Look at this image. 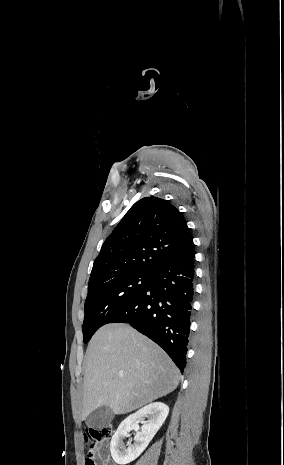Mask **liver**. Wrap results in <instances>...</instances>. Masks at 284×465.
Instances as JSON below:
<instances>
[{"label":"liver","instance_id":"1","mask_svg":"<svg viewBox=\"0 0 284 465\" xmlns=\"http://www.w3.org/2000/svg\"><path fill=\"white\" fill-rule=\"evenodd\" d=\"M179 379V369L158 345L124 323L105 325L86 351L80 421L99 407L131 413L172 393Z\"/></svg>","mask_w":284,"mask_h":465}]
</instances>
